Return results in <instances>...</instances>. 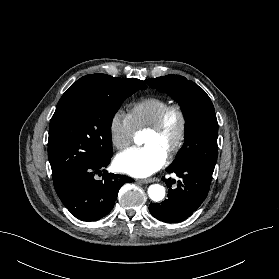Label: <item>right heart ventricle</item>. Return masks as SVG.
Returning a JSON list of instances; mask_svg holds the SVG:
<instances>
[{"label":"right heart ventricle","instance_id":"right-heart-ventricle-1","mask_svg":"<svg viewBox=\"0 0 279 279\" xmlns=\"http://www.w3.org/2000/svg\"><path fill=\"white\" fill-rule=\"evenodd\" d=\"M170 103L160 97L143 98L129 107V117L136 130H143L154 123L159 113Z\"/></svg>","mask_w":279,"mask_h":279}]
</instances>
